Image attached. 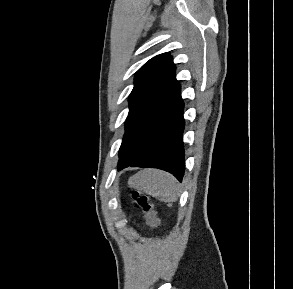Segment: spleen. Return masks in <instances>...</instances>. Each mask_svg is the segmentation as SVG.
<instances>
[{
	"instance_id": "spleen-1",
	"label": "spleen",
	"mask_w": 293,
	"mask_h": 289,
	"mask_svg": "<svg viewBox=\"0 0 293 289\" xmlns=\"http://www.w3.org/2000/svg\"><path fill=\"white\" fill-rule=\"evenodd\" d=\"M128 185L164 202H175L180 196L177 180L161 170H142L129 178Z\"/></svg>"
}]
</instances>
